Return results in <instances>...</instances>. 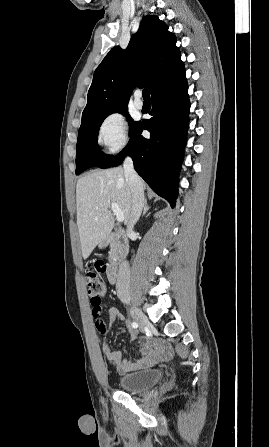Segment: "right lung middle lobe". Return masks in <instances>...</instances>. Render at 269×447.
<instances>
[{
  "mask_svg": "<svg viewBox=\"0 0 269 447\" xmlns=\"http://www.w3.org/2000/svg\"><path fill=\"white\" fill-rule=\"evenodd\" d=\"M119 112L128 117L130 121V133H132L140 122H134L128 115L126 108L111 111L95 121L81 127L78 132L76 153V174H80L90 167H98L106 162L111 156L102 153L98 149L97 136L101 123L111 113Z\"/></svg>",
  "mask_w": 269,
  "mask_h": 447,
  "instance_id": "obj_1",
  "label": "right lung middle lobe"
}]
</instances>
